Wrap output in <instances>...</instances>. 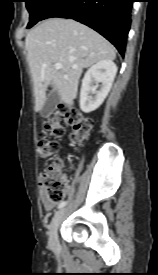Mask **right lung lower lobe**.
<instances>
[{
	"instance_id": "obj_1",
	"label": "right lung lower lobe",
	"mask_w": 158,
	"mask_h": 275,
	"mask_svg": "<svg viewBox=\"0 0 158 275\" xmlns=\"http://www.w3.org/2000/svg\"><path fill=\"white\" fill-rule=\"evenodd\" d=\"M133 0H56L41 20L71 18L99 32L123 56Z\"/></svg>"
}]
</instances>
